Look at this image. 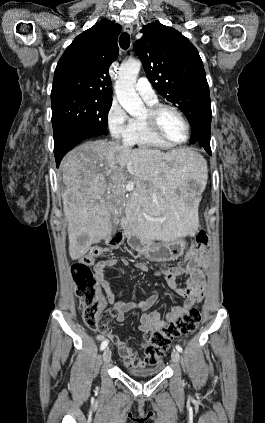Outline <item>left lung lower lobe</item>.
<instances>
[{
  "instance_id": "obj_1",
  "label": "left lung lower lobe",
  "mask_w": 265,
  "mask_h": 423,
  "mask_svg": "<svg viewBox=\"0 0 265 423\" xmlns=\"http://www.w3.org/2000/svg\"><path fill=\"white\" fill-rule=\"evenodd\" d=\"M210 125L211 121L204 124L201 133L199 134L196 143L204 147L205 150L211 154L210 149Z\"/></svg>"
}]
</instances>
